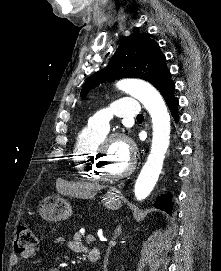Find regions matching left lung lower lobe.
<instances>
[{
	"label": "left lung lower lobe",
	"mask_w": 221,
	"mask_h": 271,
	"mask_svg": "<svg viewBox=\"0 0 221 271\" xmlns=\"http://www.w3.org/2000/svg\"><path fill=\"white\" fill-rule=\"evenodd\" d=\"M174 89L175 85L173 82H171L169 85H167L160 93L164 97L166 104L168 105L175 121L178 120V114H177V106H178V100L174 97ZM171 194H166L163 197H160L156 200L155 207H158L168 213H171L172 210V203H171Z\"/></svg>",
	"instance_id": "obj_1"
}]
</instances>
